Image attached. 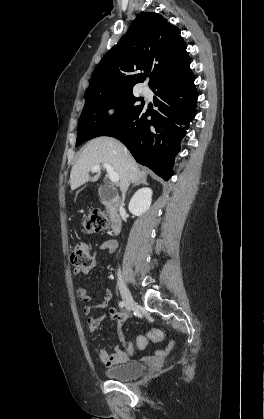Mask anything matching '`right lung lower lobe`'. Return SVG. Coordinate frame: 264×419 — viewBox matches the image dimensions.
<instances>
[{
	"instance_id": "obj_1",
	"label": "right lung lower lobe",
	"mask_w": 264,
	"mask_h": 419,
	"mask_svg": "<svg viewBox=\"0 0 264 419\" xmlns=\"http://www.w3.org/2000/svg\"><path fill=\"white\" fill-rule=\"evenodd\" d=\"M194 80L189 72L157 82L151 89L157 95L154 104L158 109L143 105L104 136L120 139L138 163L167 181L174 174L180 140L196 115Z\"/></svg>"
}]
</instances>
